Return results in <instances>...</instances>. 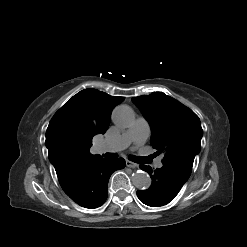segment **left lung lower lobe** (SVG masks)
Instances as JSON below:
<instances>
[{"instance_id":"left-lung-lower-lobe-1","label":"left lung lower lobe","mask_w":247,"mask_h":247,"mask_svg":"<svg viewBox=\"0 0 247 247\" xmlns=\"http://www.w3.org/2000/svg\"><path fill=\"white\" fill-rule=\"evenodd\" d=\"M140 168L149 173L152 185L147 190L137 191V196L141 202L151 207H159L169 203L188 180L172 168L166 166L155 171L146 165H140Z\"/></svg>"}]
</instances>
